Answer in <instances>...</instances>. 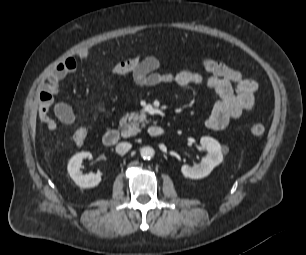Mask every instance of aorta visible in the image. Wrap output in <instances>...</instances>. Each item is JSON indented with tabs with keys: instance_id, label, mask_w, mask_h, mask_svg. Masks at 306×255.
Returning a JSON list of instances; mask_svg holds the SVG:
<instances>
[{
	"instance_id": "762f6f07",
	"label": "aorta",
	"mask_w": 306,
	"mask_h": 255,
	"mask_svg": "<svg viewBox=\"0 0 306 255\" xmlns=\"http://www.w3.org/2000/svg\"><path fill=\"white\" fill-rule=\"evenodd\" d=\"M154 153V149L148 146L140 149V155L145 160H150L154 156Z\"/></svg>"
}]
</instances>
